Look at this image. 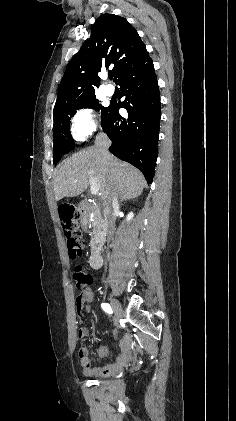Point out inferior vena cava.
I'll list each match as a JSON object with an SVG mask.
<instances>
[{
	"label": "inferior vena cava",
	"instance_id": "1",
	"mask_svg": "<svg viewBox=\"0 0 236 421\" xmlns=\"http://www.w3.org/2000/svg\"><path fill=\"white\" fill-rule=\"evenodd\" d=\"M111 144L110 138H108L105 132H98L95 140V146L98 148L99 152H101L102 160L104 164H109L108 158H110L111 154L108 150ZM113 172V170H112ZM107 194H111V196H107V208H106V227L108 229L107 233V241L112 239V231L115 223V211H119V200L116 192H110L108 190Z\"/></svg>",
	"mask_w": 236,
	"mask_h": 421
}]
</instances>
